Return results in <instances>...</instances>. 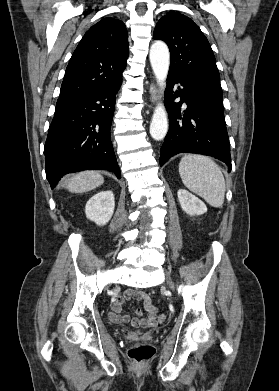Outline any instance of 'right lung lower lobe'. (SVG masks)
Listing matches in <instances>:
<instances>
[{
  "label": "right lung lower lobe",
  "mask_w": 279,
  "mask_h": 391,
  "mask_svg": "<svg viewBox=\"0 0 279 391\" xmlns=\"http://www.w3.org/2000/svg\"><path fill=\"white\" fill-rule=\"evenodd\" d=\"M122 84L57 101L44 147L45 171L53 189L63 175L107 169L121 178L110 138L116 94Z\"/></svg>",
  "instance_id": "98d812e1"
}]
</instances>
